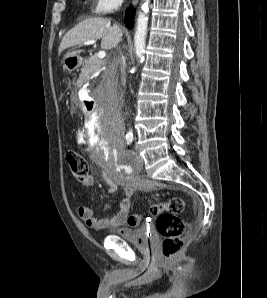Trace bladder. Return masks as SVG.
Segmentation results:
<instances>
[{
    "label": "bladder",
    "mask_w": 267,
    "mask_h": 298,
    "mask_svg": "<svg viewBox=\"0 0 267 298\" xmlns=\"http://www.w3.org/2000/svg\"><path fill=\"white\" fill-rule=\"evenodd\" d=\"M123 240L133 244L134 246L147 250L155 242V234L150 225L143 226L136 230L129 231L126 234L119 235Z\"/></svg>",
    "instance_id": "obj_1"
}]
</instances>
